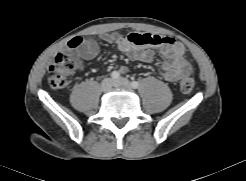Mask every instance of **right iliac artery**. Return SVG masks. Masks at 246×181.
Returning a JSON list of instances; mask_svg holds the SVG:
<instances>
[{"label":"right iliac artery","instance_id":"obj_1","mask_svg":"<svg viewBox=\"0 0 246 181\" xmlns=\"http://www.w3.org/2000/svg\"><path fill=\"white\" fill-rule=\"evenodd\" d=\"M119 77H120L119 72L113 71V72L111 73V78H112V79H118Z\"/></svg>","mask_w":246,"mask_h":181}]
</instances>
